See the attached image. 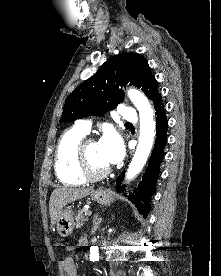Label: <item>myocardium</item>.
Returning a JSON list of instances; mask_svg holds the SVG:
<instances>
[{
	"mask_svg": "<svg viewBox=\"0 0 221 276\" xmlns=\"http://www.w3.org/2000/svg\"><path fill=\"white\" fill-rule=\"evenodd\" d=\"M92 142H95L93 138H83L80 141L77 148V159L82 175L88 180L97 181L105 178L110 173L111 169L109 167L102 171L93 169L87 156V146Z\"/></svg>",
	"mask_w": 221,
	"mask_h": 276,
	"instance_id": "f54148a6",
	"label": "myocardium"
}]
</instances>
